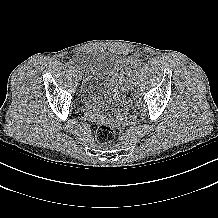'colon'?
<instances>
[{"label":"colon","instance_id":"obj_1","mask_svg":"<svg viewBox=\"0 0 218 218\" xmlns=\"http://www.w3.org/2000/svg\"><path fill=\"white\" fill-rule=\"evenodd\" d=\"M96 140L99 144H107L114 138V130L110 123L101 121L98 123L95 133Z\"/></svg>","mask_w":218,"mask_h":218}]
</instances>
